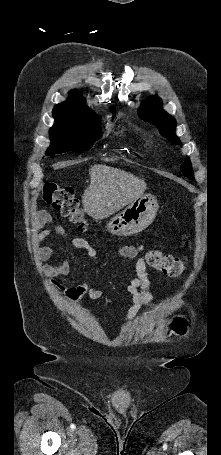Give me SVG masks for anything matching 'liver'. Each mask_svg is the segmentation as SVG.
Masks as SVG:
<instances>
[{"mask_svg":"<svg viewBox=\"0 0 221 455\" xmlns=\"http://www.w3.org/2000/svg\"><path fill=\"white\" fill-rule=\"evenodd\" d=\"M90 184L82 195L85 212L94 219H105L141 197L147 187L144 180L131 173L95 165L90 171Z\"/></svg>","mask_w":221,"mask_h":455,"instance_id":"obj_1","label":"liver"}]
</instances>
